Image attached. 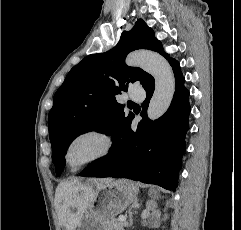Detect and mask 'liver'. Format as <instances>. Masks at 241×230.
Here are the masks:
<instances>
[{
	"label": "liver",
	"instance_id": "6515ba94",
	"mask_svg": "<svg viewBox=\"0 0 241 230\" xmlns=\"http://www.w3.org/2000/svg\"><path fill=\"white\" fill-rule=\"evenodd\" d=\"M112 179L95 181L93 184L60 183L55 193V204L58 217L66 230H75L84 212L90 207L97 194V189L103 182ZM71 209H76L72 212Z\"/></svg>",
	"mask_w": 241,
	"mask_h": 230
}]
</instances>
